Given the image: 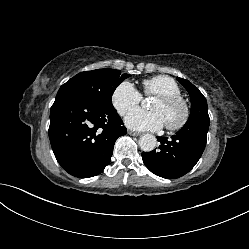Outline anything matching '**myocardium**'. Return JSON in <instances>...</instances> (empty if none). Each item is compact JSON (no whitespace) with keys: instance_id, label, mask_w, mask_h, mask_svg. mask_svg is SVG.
<instances>
[{"instance_id":"1","label":"myocardium","mask_w":249,"mask_h":249,"mask_svg":"<svg viewBox=\"0 0 249 249\" xmlns=\"http://www.w3.org/2000/svg\"><path fill=\"white\" fill-rule=\"evenodd\" d=\"M156 99L166 105H178L182 109V116L176 123H165V127L170 131L182 129L189 121L191 110L186 99L180 95H158Z\"/></svg>"}]
</instances>
